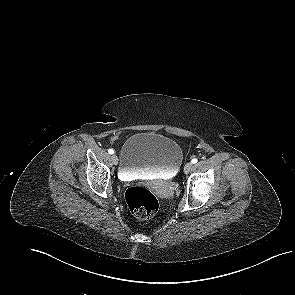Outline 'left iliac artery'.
<instances>
[{"mask_svg":"<svg viewBox=\"0 0 295 295\" xmlns=\"http://www.w3.org/2000/svg\"><path fill=\"white\" fill-rule=\"evenodd\" d=\"M197 161H198V160H197L196 158H194V159L191 160V162H192L193 164L197 163Z\"/></svg>","mask_w":295,"mask_h":295,"instance_id":"obj_1","label":"left iliac artery"}]
</instances>
